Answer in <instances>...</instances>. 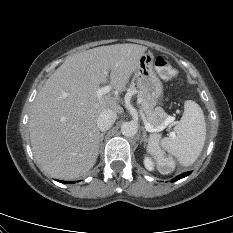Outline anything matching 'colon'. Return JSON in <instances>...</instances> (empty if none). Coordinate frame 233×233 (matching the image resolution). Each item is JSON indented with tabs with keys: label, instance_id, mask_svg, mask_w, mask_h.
Instances as JSON below:
<instances>
[{
	"label": "colon",
	"instance_id": "5ec220e1",
	"mask_svg": "<svg viewBox=\"0 0 233 233\" xmlns=\"http://www.w3.org/2000/svg\"><path fill=\"white\" fill-rule=\"evenodd\" d=\"M154 64L157 73L162 79L169 81L177 76V70L164 57L157 56ZM148 153L160 172L168 174L175 170V160L165 154L160 144V135L154 134L151 136L148 144Z\"/></svg>",
	"mask_w": 233,
	"mask_h": 233
}]
</instances>
